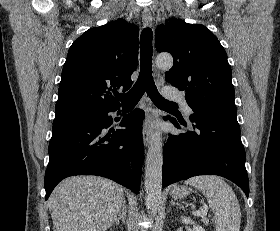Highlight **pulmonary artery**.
<instances>
[{"instance_id":"pulmonary-artery-1","label":"pulmonary artery","mask_w":280,"mask_h":231,"mask_svg":"<svg viewBox=\"0 0 280 231\" xmlns=\"http://www.w3.org/2000/svg\"><path fill=\"white\" fill-rule=\"evenodd\" d=\"M162 94L169 100L178 101L181 105H189L183 92L177 91L172 87L166 86L162 89ZM184 113H192V110H183Z\"/></svg>"}]
</instances>
